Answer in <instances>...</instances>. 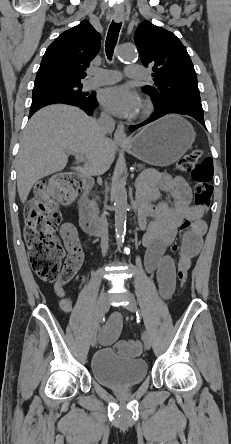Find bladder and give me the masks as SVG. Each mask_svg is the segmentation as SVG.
Returning a JSON list of instances; mask_svg holds the SVG:
<instances>
[{
	"label": "bladder",
	"mask_w": 231,
	"mask_h": 444,
	"mask_svg": "<svg viewBox=\"0 0 231 444\" xmlns=\"http://www.w3.org/2000/svg\"><path fill=\"white\" fill-rule=\"evenodd\" d=\"M90 369L101 385L121 389L141 383L148 367L143 359L125 357L113 348H100L91 358Z\"/></svg>",
	"instance_id": "1"
}]
</instances>
